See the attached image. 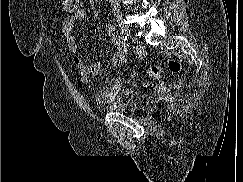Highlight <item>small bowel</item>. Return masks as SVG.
<instances>
[{"mask_svg": "<svg viewBox=\"0 0 243 182\" xmlns=\"http://www.w3.org/2000/svg\"><path fill=\"white\" fill-rule=\"evenodd\" d=\"M85 17H86V12L82 8L78 9L75 13L65 17L61 24L62 34L64 35L67 45L73 54V61L80 71L81 82L85 85H88L91 88L94 97L97 101L105 102V103L114 102L119 98V95L123 91L124 87L122 82L116 80L112 84V86L105 92L97 90L92 85L90 78L92 76L99 75L104 65L100 62L87 63L76 41L74 35V27L78 22L84 20ZM105 30L111 36L112 42L116 47V51L112 57L111 62L109 63V66L116 68L121 66L125 62L128 54V45L120 41L114 35V28L112 25L105 24ZM135 53L139 58L144 57V51L141 48H137L135 50ZM130 82H132V79H130ZM128 91L129 90H126V92Z\"/></svg>", "mask_w": 243, "mask_h": 182, "instance_id": "small-bowel-1", "label": "small bowel"}]
</instances>
